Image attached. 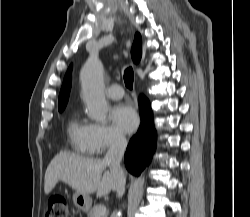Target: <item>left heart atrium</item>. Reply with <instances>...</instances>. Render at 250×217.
Instances as JSON below:
<instances>
[{
  "mask_svg": "<svg viewBox=\"0 0 250 217\" xmlns=\"http://www.w3.org/2000/svg\"><path fill=\"white\" fill-rule=\"evenodd\" d=\"M111 120L123 132L130 133L138 125V117L134 109L127 104H118L112 108Z\"/></svg>",
  "mask_w": 250,
  "mask_h": 217,
  "instance_id": "obj_1",
  "label": "left heart atrium"
}]
</instances>
